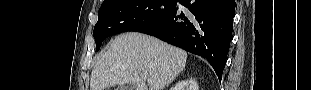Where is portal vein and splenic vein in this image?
Wrapping results in <instances>:
<instances>
[{
  "mask_svg": "<svg viewBox=\"0 0 311 90\" xmlns=\"http://www.w3.org/2000/svg\"><path fill=\"white\" fill-rule=\"evenodd\" d=\"M141 77L144 78V79L149 80V78H148V76L146 74H141Z\"/></svg>",
  "mask_w": 311,
  "mask_h": 90,
  "instance_id": "18ae733b",
  "label": "portal vein and splenic vein"
}]
</instances>
